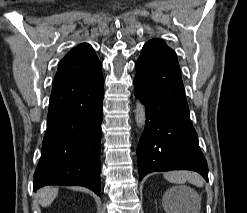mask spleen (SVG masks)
Wrapping results in <instances>:
<instances>
[{
    "mask_svg": "<svg viewBox=\"0 0 247 213\" xmlns=\"http://www.w3.org/2000/svg\"><path fill=\"white\" fill-rule=\"evenodd\" d=\"M164 178L168 180L169 182L176 183V184H183L186 181L189 183L197 186V187H202L204 185V181L202 177L194 172H189V171H171V172H166L164 174ZM175 189H170L166 195L170 196ZM176 206H179V202L176 203ZM176 208V207H174ZM175 209L173 207H168V212L169 213H176L174 212Z\"/></svg>",
    "mask_w": 247,
    "mask_h": 213,
    "instance_id": "obj_1",
    "label": "spleen"
}]
</instances>
